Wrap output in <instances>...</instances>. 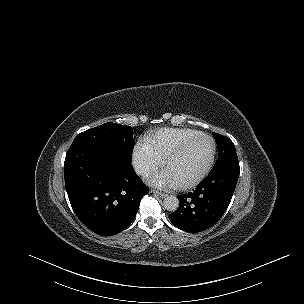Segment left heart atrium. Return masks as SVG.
<instances>
[{
  "mask_svg": "<svg viewBox=\"0 0 304 304\" xmlns=\"http://www.w3.org/2000/svg\"><path fill=\"white\" fill-rule=\"evenodd\" d=\"M147 182L154 187L162 189L177 187V183L167 172L155 173L147 178Z\"/></svg>",
  "mask_w": 304,
  "mask_h": 304,
  "instance_id": "obj_1",
  "label": "left heart atrium"
}]
</instances>
